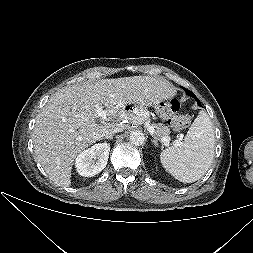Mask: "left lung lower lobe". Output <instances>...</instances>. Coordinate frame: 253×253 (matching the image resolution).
Wrapping results in <instances>:
<instances>
[{
    "mask_svg": "<svg viewBox=\"0 0 253 253\" xmlns=\"http://www.w3.org/2000/svg\"><path fill=\"white\" fill-rule=\"evenodd\" d=\"M186 92H187L188 95H190V96H192V97L195 98V95L191 91L186 90ZM196 101H197L198 105L201 106L200 101L197 98H196Z\"/></svg>",
    "mask_w": 253,
    "mask_h": 253,
    "instance_id": "1",
    "label": "left lung lower lobe"
}]
</instances>
